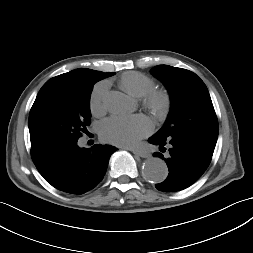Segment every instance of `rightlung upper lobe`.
<instances>
[{
    "label": "right lung upper lobe",
    "instance_id": "1",
    "mask_svg": "<svg viewBox=\"0 0 253 253\" xmlns=\"http://www.w3.org/2000/svg\"><path fill=\"white\" fill-rule=\"evenodd\" d=\"M112 72H108V73H103L100 71H95V70H91V69H76L73 71H70L68 73H64L61 74L59 76H56L52 79H61V78H94V77H98V78H106L111 76ZM33 159V162L35 165H38L42 162H44L47 158H43V159Z\"/></svg>",
    "mask_w": 253,
    "mask_h": 253
}]
</instances>
